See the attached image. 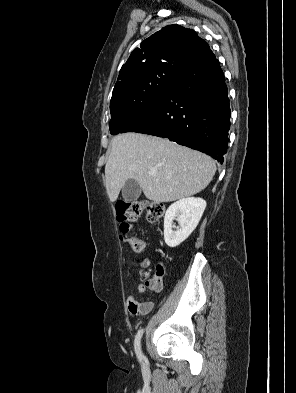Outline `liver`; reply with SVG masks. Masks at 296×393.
Segmentation results:
<instances>
[{
	"instance_id": "obj_1",
	"label": "liver",
	"mask_w": 296,
	"mask_h": 393,
	"mask_svg": "<svg viewBox=\"0 0 296 393\" xmlns=\"http://www.w3.org/2000/svg\"><path fill=\"white\" fill-rule=\"evenodd\" d=\"M215 172L214 160L199 151L168 139L130 132L112 139L105 186L111 202L117 200L129 179L137 181L147 199L171 202L205 189Z\"/></svg>"
}]
</instances>
